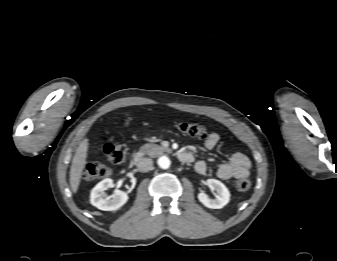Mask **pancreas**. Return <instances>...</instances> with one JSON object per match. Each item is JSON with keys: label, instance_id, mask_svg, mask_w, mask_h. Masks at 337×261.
<instances>
[{"label": "pancreas", "instance_id": "1", "mask_svg": "<svg viewBox=\"0 0 337 261\" xmlns=\"http://www.w3.org/2000/svg\"><path fill=\"white\" fill-rule=\"evenodd\" d=\"M165 152H170V149L155 144H145L141 146L139 150V153L141 155H148L150 157H156L161 154H164Z\"/></svg>", "mask_w": 337, "mask_h": 261}]
</instances>
